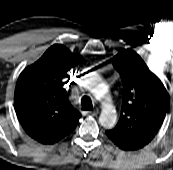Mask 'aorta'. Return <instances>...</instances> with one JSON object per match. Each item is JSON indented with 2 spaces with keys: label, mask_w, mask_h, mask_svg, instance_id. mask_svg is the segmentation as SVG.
<instances>
[{
  "label": "aorta",
  "mask_w": 173,
  "mask_h": 170,
  "mask_svg": "<svg viewBox=\"0 0 173 170\" xmlns=\"http://www.w3.org/2000/svg\"><path fill=\"white\" fill-rule=\"evenodd\" d=\"M85 86L91 90L94 95L101 99L107 92L106 86L97 74H90L84 80ZM117 121V114L115 108L110 103H105L102 112L99 116V123L104 128L110 129L114 127Z\"/></svg>",
  "instance_id": "aorta-1"
}]
</instances>
